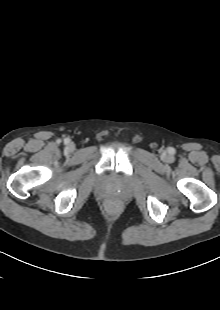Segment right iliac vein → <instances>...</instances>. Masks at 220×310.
<instances>
[{"label":"right iliac vein","instance_id":"63e3f726","mask_svg":"<svg viewBox=\"0 0 220 310\" xmlns=\"http://www.w3.org/2000/svg\"><path fill=\"white\" fill-rule=\"evenodd\" d=\"M74 148H75V146H74L73 143H69V144L67 145V150H68V151H73Z\"/></svg>","mask_w":220,"mask_h":310}]
</instances>
